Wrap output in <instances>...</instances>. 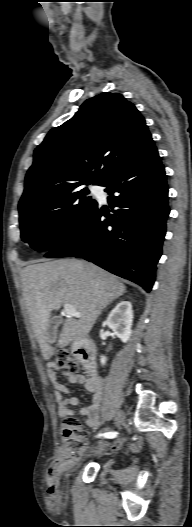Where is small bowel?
I'll use <instances>...</instances> for the list:
<instances>
[{"label":"small bowel","instance_id":"obj_1","mask_svg":"<svg viewBox=\"0 0 192 527\" xmlns=\"http://www.w3.org/2000/svg\"><path fill=\"white\" fill-rule=\"evenodd\" d=\"M48 378L52 385L54 386L56 393L55 397L58 402V414L60 417H70L74 411L71 409L72 406L79 404V399L76 397L64 398L63 394H69V388L60 383L58 380L57 368L55 366H50L47 371ZM68 381L74 384H82L87 391L92 393V399L88 406L81 407L78 410L80 415L86 416V424L90 428H97L100 421L101 414V402L104 396V382L103 380L96 375L95 373H89L88 376L83 374H72L65 373ZM108 448L112 450H119L123 447H129L131 450H135V446L125 442L124 440H119L115 443L108 444Z\"/></svg>","mask_w":192,"mask_h":527}]
</instances>
